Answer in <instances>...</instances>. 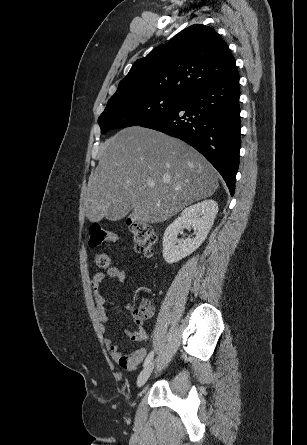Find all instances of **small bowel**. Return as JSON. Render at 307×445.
<instances>
[{"mask_svg": "<svg viewBox=\"0 0 307 445\" xmlns=\"http://www.w3.org/2000/svg\"><path fill=\"white\" fill-rule=\"evenodd\" d=\"M128 276V272L124 269H120L117 267H112L104 272H97L93 275L91 279V286L93 290V296L96 303V312L97 317L102 323L108 322V314L106 310L107 304H112L113 302L107 299L101 292L100 286L105 280L106 277L116 279L119 282H124ZM126 336L130 339H133V336L136 334L135 332L125 331ZM106 346L108 348L109 354L113 360H115L119 366L127 371L135 370L138 365L143 361L146 355L145 348L141 347L136 349L130 354H124L119 345L114 343L112 339H105Z\"/></svg>", "mask_w": 307, "mask_h": 445, "instance_id": "c3829d8e", "label": "small bowel"}]
</instances>
